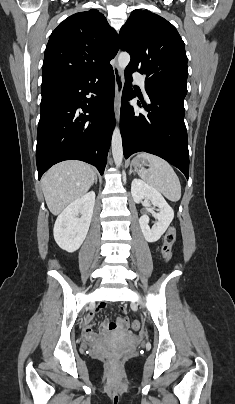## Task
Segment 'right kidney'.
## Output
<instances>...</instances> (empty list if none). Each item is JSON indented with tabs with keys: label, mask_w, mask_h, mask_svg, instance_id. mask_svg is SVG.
<instances>
[{
	"label": "right kidney",
	"mask_w": 235,
	"mask_h": 404,
	"mask_svg": "<svg viewBox=\"0 0 235 404\" xmlns=\"http://www.w3.org/2000/svg\"><path fill=\"white\" fill-rule=\"evenodd\" d=\"M94 204L95 193L91 191L70 203L58 216L54 239L61 249L71 253L80 248L89 230Z\"/></svg>",
	"instance_id": "obj_1"
}]
</instances>
